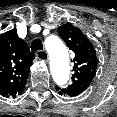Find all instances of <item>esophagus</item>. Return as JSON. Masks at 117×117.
I'll return each instance as SVG.
<instances>
[{
    "mask_svg": "<svg viewBox=\"0 0 117 117\" xmlns=\"http://www.w3.org/2000/svg\"><path fill=\"white\" fill-rule=\"evenodd\" d=\"M37 58L42 60V61H48L49 55L46 51H38L37 52Z\"/></svg>",
    "mask_w": 117,
    "mask_h": 117,
    "instance_id": "esophagus-1",
    "label": "esophagus"
}]
</instances>
